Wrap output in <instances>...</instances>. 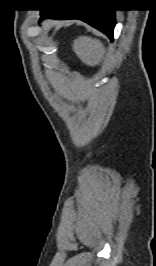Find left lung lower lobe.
<instances>
[{"label":"left lung lower lobe","mask_w":156,"mask_h":266,"mask_svg":"<svg viewBox=\"0 0 156 266\" xmlns=\"http://www.w3.org/2000/svg\"><path fill=\"white\" fill-rule=\"evenodd\" d=\"M41 15H47L58 19H79L105 33L113 39L115 26V14L113 9L92 8V9H51L41 10Z\"/></svg>","instance_id":"1"}]
</instances>
